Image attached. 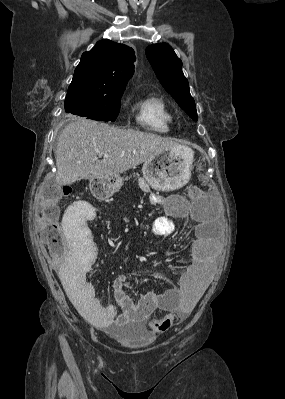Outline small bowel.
I'll use <instances>...</instances> for the list:
<instances>
[{
  "label": "small bowel",
  "instance_id": "obj_1",
  "mask_svg": "<svg viewBox=\"0 0 285 399\" xmlns=\"http://www.w3.org/2000/svg\"><path fill=\"white\" fill-rule=\"evenodd\" d=\"M149 201L164 207L166 216L158 217L150 226L154 235L166 237L174 233V216L192 217L194 207L186 204L179 196H170L168 203H163L156 195H149ZM88 208L80 201L73 202L63 218V229L67 244L73 251V265L54 261L56 272L63 288L77 310L95 327L106 332L128 324L146 325L154 333H163L172 326L186 319L195 308L210 278L211 266L205 246L206 237L195 236L188 247V265L183 272L178 288L160 292L151 289L140 293L135 300L125 289L122 281L113 285V296L121 312L113 306L103 307L95 296L92 284L87 279L95 255L90 248L89 221L85 216ZM71 261V260H70ZM168 311L165 318L151 317L156 308Z\"/></svg>",
  "mask_w": 285,
  "mask_h": 399
}]
</instances>
